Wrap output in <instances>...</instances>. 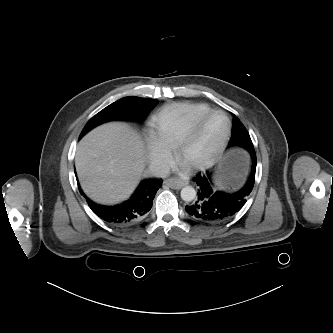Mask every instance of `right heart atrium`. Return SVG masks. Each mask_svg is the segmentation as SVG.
<instances>
[{
	"instance_id": "obj_1",
	"label": "right heart atrium",
	"mask_w": 333,
	"mask_h": 333,
	"mask_svg": "<svg viewBox=\"0 0 333 333\" xmlns=\"http://www.w3.org/2000/svg\"><path fill=\"white\" fill-rule=\"evenodd\" d=\"M147 157L156 173H163L172 161L171 150L153 134L147 139Z\"/></svg>"
}]
</instances>
